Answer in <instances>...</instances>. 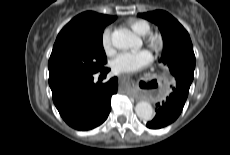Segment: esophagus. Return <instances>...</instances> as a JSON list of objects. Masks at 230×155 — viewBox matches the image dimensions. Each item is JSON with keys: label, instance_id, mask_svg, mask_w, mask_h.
Here are the masks:
<instances>
[{"label": "esophagus", "instance_id": "esophagus-1", "mask_svg": "<svg viewBox=\"0 0 230 155\" xmlns=\"http://www.w3.org/2000/svg\"><path fill=\"white\" fill-rule=\"evenodd\" d=\"M120 79L122 80V82L126 81V77L125 76H121Z\"/></svg>", "mask_w": 230, "mask_h": 155}]
</instances>
